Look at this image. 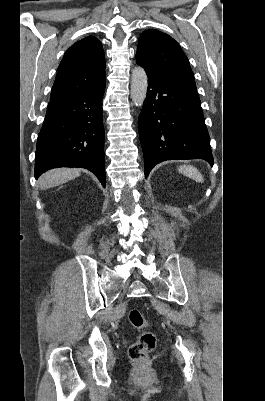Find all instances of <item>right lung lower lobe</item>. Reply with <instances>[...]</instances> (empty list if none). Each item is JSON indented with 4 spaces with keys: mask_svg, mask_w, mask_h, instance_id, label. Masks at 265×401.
I'll return each instance as SVG.
<instances>
[{
    "mask_svg": "<svg viewBox=\"0 0 265 401\" xmlns=\"http://www.w3.org/2000/svg\"><path fill=\"white\" fill-rule=\"evenodd\" d=\"M105 86L50 101L37 139L35 178L57 167H82L106 185L102 99Z\"/></svg>",
    "mask_w": 265,
    "mask_h": 401,
    "instance_id": "98d812e1",
    "label": "right lung lower lobe"
}]
</instances>
